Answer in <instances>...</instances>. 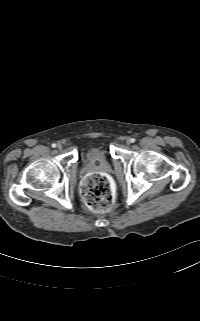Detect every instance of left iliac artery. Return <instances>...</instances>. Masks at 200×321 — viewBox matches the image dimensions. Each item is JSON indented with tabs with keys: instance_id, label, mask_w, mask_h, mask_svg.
<instances>
[{
	"instance_id": "obj_1",
	"label": "left iliac artery",
	"mask_w": 200,
	"mask_h": 321,
	"mask_svg": "<svg viewBox=\"0 0 200 321\" xmlns=\"http://www.w3.org/2000/svg\"><path fill=\"white\" fill-rule=\"evenodd\" d=\"M136 140L134 138H131V142L134 143Z\"/></svg>"
}]
</instances>
